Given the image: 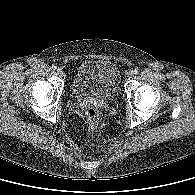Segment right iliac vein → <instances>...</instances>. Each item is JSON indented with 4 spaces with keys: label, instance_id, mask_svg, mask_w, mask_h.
<instances>
[{
    "label": "right iliac vein",
    "instance_id": "63e3f726",
    "mask_svg": "<svg viewBox=\"0 0 195 195\" xmlns=\"http://www.w3.org/2000/svg\"><path fill=\"white\" fill-rule=\"evenodd\" d=\"M56 73H57L59 76H62L63 71H62L61 68H58V69H56Z\"/></svg>",
    "mask_w": 195,
    "mask_h": 195
}]
</instances>
